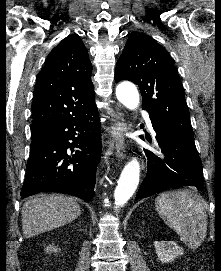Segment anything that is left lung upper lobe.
Segmentation results:
<instances>
[{
	"label": "left lung upper lobe",
	"instance_id": "1",
	"mask_svg": "<svg viewBox=\"0 0 221 271\" xmlns=\"http://www.w3.org/2000/svg\"><path fill=\"white\" fill-rule=\"evenodd\" d=\"M130 80L139 86L143 109L194 139L184 89L169 53L145 34H130L116 65L115 81Z\"/></svg>",
	"mask_w": 221,
	"mask_h": 271
}]
</instances>
